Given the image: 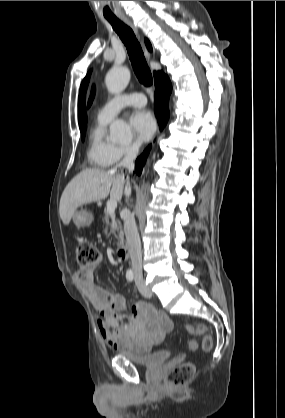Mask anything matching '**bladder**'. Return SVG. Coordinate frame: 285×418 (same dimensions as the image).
<instances>
[{"mask_svg": "<svg viewBox=\"0 0 285 418\" xmlns=\"http://www.w3.org/2000/svg\"><path fill=\"white\" fill-rule=\"evenodd\" d=\"M119 355L125 356L138 366L153 367L165 363L169 358V353L163 349L137 352L128 347L121 348Z\"/></svg>", "mask_w": 285, "mask_h": 418, "instance_id": "obj_1", "label": "bladder"}]
</instances>
